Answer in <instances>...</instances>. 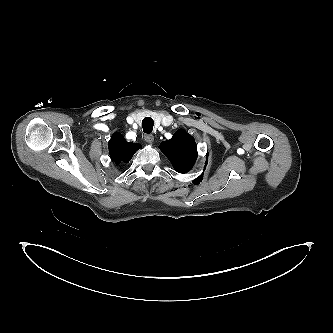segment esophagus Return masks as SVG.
<instances>
[{
    "label": "esophagus",
    "instance_id": "obj_1",
    "mask_svg": "<svg viewBox=\"0 0 333 333\" xmlns=\"http://www.w3.org/2000/svg\"><path fill=\"white\" fill-rule=\"evenodd\" d=\"M144 140L147 143H153L154 142V136L152 134H146V135H144Z\"/></svg>",
    "mask_w": 333,
    "mask_h": 333
}]
</instances>
